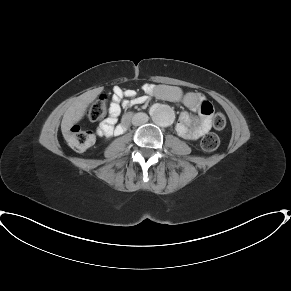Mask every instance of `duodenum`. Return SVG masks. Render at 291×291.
<instances>
[{
	"mask_svg": "<svg viewBox=\"0 0 291 291\" xmlns=\"http://www.w3.org/2000/svg\"><path fill=\"white\" fill-rule=\"evenodd\" d=\"M131 117H132V115L130 113H128L124 116L123 125H122L123 130L126 129L127 123L131 119Z\"/></svg>",
	"mask_w": 291,
	"mask_h": 291,
	"instance_id": "duodenum-1",
	"label": "duodenum"
}]
</instances>
